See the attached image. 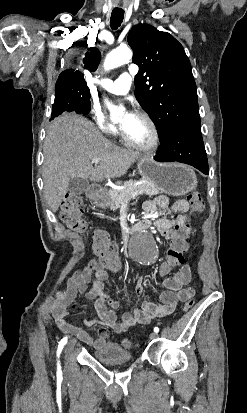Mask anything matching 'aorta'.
Segmentation results:
<instances>
[{"instance_id":"obj_1","label":"aorta","mask_w":247,"mask_h":413,"mask_svg":"<svg viewBox=\"0 0 247 413\" xmlns=\"http://www.w3.org/2000/svg\"><path fill=\"white\" fill-rule=\"evenodd\" d=\"M132 58V51L128 47H118L111 51L104 62V69L111 70L117 68L125 63H129ZM107 107L112 117H117L121 111L119 107H116L109 102H106Z\"/></svg>"}]
</instances>
